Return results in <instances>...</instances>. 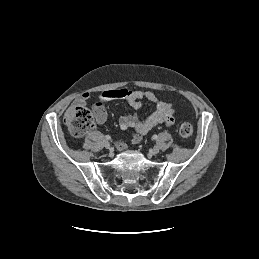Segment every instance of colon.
Masks as SVG:
<instances>
[{
  "instance_id": "5ec220e1",
  "label": "colon",
  "mask_w": 259,
  "mask_h": 259,
  "mask_svg": "<svg viewBox=\"0 0 259 259\" xmlns=\"http://www.w3.org/2000/svg\"><path fill=\"white\" fill-rule=\"evenodd\" d=\"M64 123L72 135L83 136L94 127V116L85 105H72L64 115ZM179 134L183 138H189L193 134L190 123L184 122L179 126Z\"/></svg>"
}]
</instances>
